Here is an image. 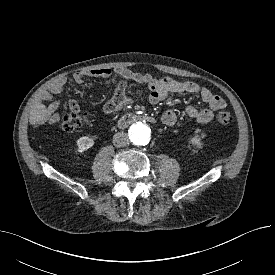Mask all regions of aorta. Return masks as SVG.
Wrapping results in <instances>:
<instances>
[{"label":"aorta","instance_id":"aorta-1","mask_svg":"<svg viewBox=\"0 0 275 275\" xmlns=\"http://www.w3.org/2000/svg\"><path fill=\"white\" fill-rule=\"evenodd\" d=\"M150 127L146 123L137 122L129 130L132 142L136 145H146L150 139Z\"/></svg>","mask_w":275,"mask_h":275}]
</instances>
